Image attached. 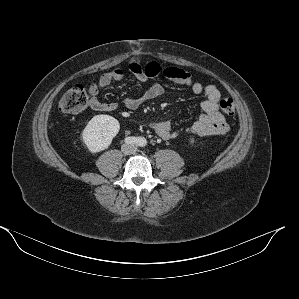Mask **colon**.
Returning <instances> with one entry per match:
<instances>
[{
  "label": "colon",
  "mask_w": 299,
  "mask_h": 299,
  "mask_svg": "<svg viewBox=\"0 0 299 299\" xmlns=\"http://www.w3.org/2000/svg\"><path fill=\"white\" fill-rule=\"evenodd\" d=\"M88 103L89 97L86 88L81 84H74L63 95L59 109L64 114H77L83 111ZM220 107L226 115H233L235 111L234 100L227 97L221 101Z\"/></svg>",
  "instance_id": "obj_1"
}]
</instances>
